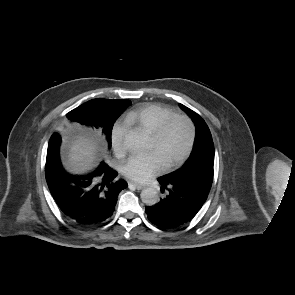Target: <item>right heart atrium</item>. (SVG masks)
Wrapping results in <instances>:
<instances>
[{
	"instance_id": "obj_1",
	"label": "right heart atrium",
	"mask_w": 295,
	"mask_h": 295,
	"mask_svg": "<svg viewBox=\"0 0 295 295\" xmlns=\"http://www.w3.org/2000/svg\"><path fill=\"white\" fill-rule=\"evenodd\" d=\"M127 132L126 126L116 122L111 129L110 140L113 151L116 155L122 156L125 153L124 138Z\"/></svg>"
}]
</instances>
